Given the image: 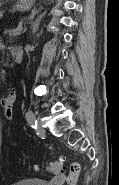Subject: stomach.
Segmentation results:
<instances>
[{"label": "stomach", "instance_id": "stomach-1", "mask_svg": "<svg viewBox=\"0 0 119 185\" xmlns=\"http://www.w3.org/2000/svg\"><path fill=\"white\" fill-rule=\"evenodd\" d=\"M35 0H19L18 4L16 5V9L20 11L29 10L32 5L34 4ZM2 13L0 12V17Z\"/></svg>", "mask_w": 119, "mask_h": 185}]
</instances>
